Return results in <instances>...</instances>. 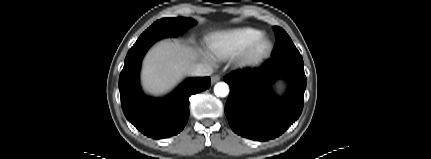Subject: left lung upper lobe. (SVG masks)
I'll return each instance as SVG.
<instances>
[{"instance_id": "obj_1", "label": "left lung upper lobe", "mask_w": 431, "mask_h": 159, "mask_svg": "<svg viewBox=\"0 0 431 159\" xmlns=\"http://www.w3.org/2000/svg\"><path fill=\"white\" fill-rule=\"evenodd\" d=\"M274 31L277 37V47L274 52L273 59H302V56L294 46L288 34L282 28L277 26L274 27Z\"/></svg>"}]
</instances>
